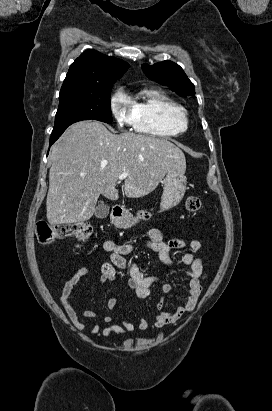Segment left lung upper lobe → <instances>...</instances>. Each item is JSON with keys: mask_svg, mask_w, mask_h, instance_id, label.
<instances>
[{"mask_svg": "<svg viewBox=\"0 0 272 411\" xmlns=\"http://www.w3.org/2000/svg\"><path fill=\"white\" fill-rule=\"evenodd\" d=\"M145 75L161 84L167 85L179 95H195L194 84L187 78L182 68L172 61H163L152 66L143 64Z\"/></svg>", "mask_w": 272, "mask_h": 411, "instance_id": "obj_1", "label": "left lung upper lobe"}]
</instances>
